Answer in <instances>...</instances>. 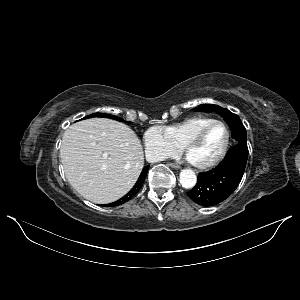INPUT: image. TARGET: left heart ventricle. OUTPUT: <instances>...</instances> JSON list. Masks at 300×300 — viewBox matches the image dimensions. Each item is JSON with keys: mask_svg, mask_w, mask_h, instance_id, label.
<instances>
[{"mask_svg": "<svg viewBox=\"0 0 300 300\" xmlns=\"http://www.w3.org/2000/svg\"><path fill=\"white\" fill-rule=\"evenodd\" d=\"M226 132L223 126L214 125L203 139L189 152V159L195 163H206L213 160L221 152Z\"/></svg>", "mask_w": 300, "mask_h": 300, "instance_id": "left-heart-ventricle-1", "label": "left heart ventricle"}]
</instances>
